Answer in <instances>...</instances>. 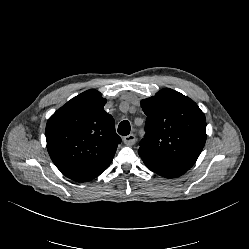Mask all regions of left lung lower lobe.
Wrapping results in <instances>:
<instances>
[{
	"label": "left lung lower lobe",
	"mask_w": 249,
	"mask_h": 249,
	"mask_svg": "<svg viewBox=\"0 0 249 249\" xmlns=\"http://www.w3.org/2000/svg\"><path fill=\"white\" fill-rule=\"evenodd\" d=\"M145 165L153 172L166 178L178 177L186 172L185 170L173 168L158 161L147 162Z\"/></svg>",
	"instance_id": "obj_1"
}]
</instances>
